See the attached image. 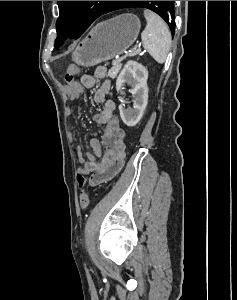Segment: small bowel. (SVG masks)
Wrapping results in <instances>:
<instances>
[{
    "label": "small bowel",
    "instance_id": "small-bowel-1",
    "mask_svg": "<svg viewBox=\"0 0 237 300\" xmlns=\"http://www.w3.org/2000/svg\"><path fill=\"white\" fill-rule=\"evenodd\" d=\"M107 68L98 66L93 73L82 76L78 88L70 85L63 87V92L70 100L79 97L82 87L91 88L98 84L93 95V101L101 104L100 112L94 114V120L105 127L102 141L91 139L90 146L93 153L87 152L83 155L81 146L76 147V153L81 163L79 169L85 175H91L90 184L95 186L113 179L123 168L125 163V138L126 131L121 125L118 117L114 114L116 105L112 100L106 99L111 90V82L107 78ZM71 111H67L70 115ZM88 200H81V207L85 208Z\"/></svg>",
    "mask_w": 237,
    "mask_h": 300
}]
</instances>
